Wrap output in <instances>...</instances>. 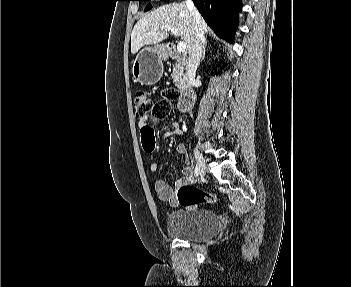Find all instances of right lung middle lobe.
Wrapping results in <instances>:
<instances>
[{"instance_id": "right-lung-middle-lobe-1", "label": "right lung middle lobe", "mask_w": 351, "mask_h": 287, "mask_svg": "<svg viewBox=\"0 0 351 287\" xmlns=\"http://www.w3.org/2000/svg\"><path fill=\"white\" fill-rule=\"evenodd\" d=\"M136 1H142V0H136ZM145 1H150V0H145ZM152 8V5L151 4H148L145 8V11H148Z\"/></svg>"}]
</instances>
